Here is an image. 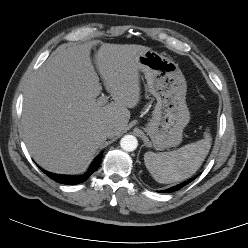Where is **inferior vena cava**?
Here are the masks:
<instances>
[{
    "label": "inferior vena cava",
    "mask_w": 248,
    "mask_h": 248,
    "mask_svg": "<svg viewBox=\"0 0 248 248\" xmlns=\"http://www.w3.org/2000/svg\"><path fill=\"white\" fill-rule=\"evenodd\" d=\"M116 132V128L112 125L104 128V134L107 138H113L116 135Z\"/></svg>",
    "instance_id": "inferior-vena-cava-1"
}]
</instances>
